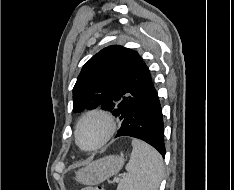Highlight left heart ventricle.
<instances>
[{
  "mask_svg": "<svg viewBox=\"0 0 234 190\" xmlns=\"http://www.w3.org/2000/svg\"><path fill=\"white\" fill-rule=\"evenodd\" d=\"M104 134V125L99 120H90L80 131V141L85 147H90L100 141Z\"/></svg>",
  "mask_w": 234,
  "mask_h": 190,
  "instance_id": "1",
  "label": "left heart ventricle"
}]
</instances>
